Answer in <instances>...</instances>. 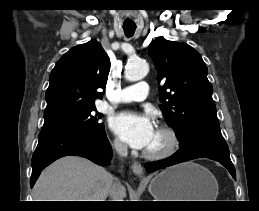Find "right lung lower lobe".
<instances>
[{"instance_id":"right-lung-lower-lobe-1","label":"right lung lower lobe","mask_w":259,"mask_h":211,"mask_svg":"<svg viewBox=\"0 0 259 211\" xmlns=\"http://www.w3.org/2000/svg\"><path fill=\"white\" fill-rule=\"evenodd\" d=\"M67 155L81 156L98 165H107L110 162L112 151L105 129L100 131L42 130L32 157L30 186H34L46 166Z\"/></svg>"}]
</instances>
